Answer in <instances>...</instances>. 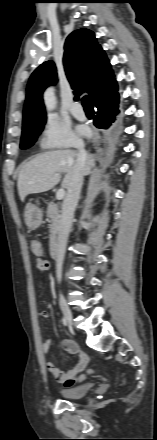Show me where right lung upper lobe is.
<instances>
[{"instance_id": "1", "label": "right lung upper lobe", "mask_w": 157, "mask_h": 440, "mask_svg": "<svg viewBox=\"0 0 157 440\" xmlns=\"http://www.w3.org/2000/svg\"><path fill=\"white\" fill-rule=\"evenodd\" d=\"M64 49L63 62L66 75L77 95L75 100L86 91L94 105H98L117 93L118 86L111 65L92 31H73L67 37ZM56 78V67L52 61L44 62L32 73L27 85L23 127L46 121L42 93L47 86L56 83Z\"/></svg>"}]
</instances>
